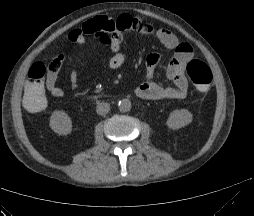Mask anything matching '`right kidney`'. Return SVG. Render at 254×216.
I'll use <instances>...</instances> for the list:
<instances>
[{
  "label": "right kidney",
  "mask_w": 254,
  "mask_h": 216,
  "mask_svg": "<svg viewBox=\"0 0 254 216\" xmlns=\"http://www.w3.org/2000/svg\"><path fill=\"white\" fill-rule=\"evenodd\" d=\"M51 129L59 135H67L72 131V121L65 111H54L49 123Z\"/></svg>",
  "instance_id": "obj_1"
}]
</instances>
